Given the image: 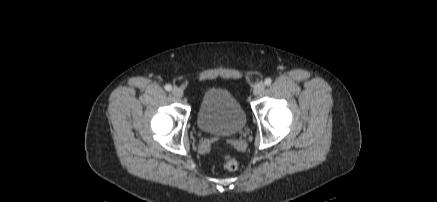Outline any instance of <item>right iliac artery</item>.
<instances>
[{
  "label": "right iliac artery",
  "instance_id": "1",
  "mask_svg": "<svg viewBox=\"0 0 437 202\" xmlns=\"http://www.w3.org/2000/svg\"><path fill=\"white\" fill-rule=\"evenodd\" d=\"M171 89H172L171 85H169V84L165 85V90L166 91H171Z\"/></svg>",
  "mask_w": 437,
  "mask_h": 202
}]
</instances>
